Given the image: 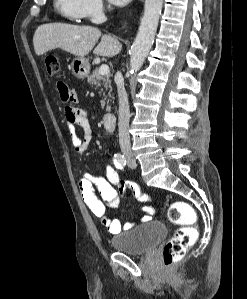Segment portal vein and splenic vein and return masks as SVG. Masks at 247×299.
I'll use <instances>...</instances> for the list:
<instances>
[{
	"mask_svg": "<svg viewBox=\"0 0 247 299\" xmlns=\"http://www.w3.org/2000/svg\"><path fill=\"white\" fill-rule=\"evenodd\" d=\"M110 72L109 66L106 64H102L99 68L100 75H107Z\"/></svg>",
	"mask_w": 247,
	"mask_h": 299,
	"instance_id": "1",
	"label": "portal vein and splenic vein"
}]
</instances>
